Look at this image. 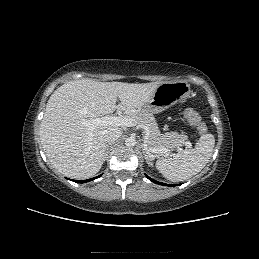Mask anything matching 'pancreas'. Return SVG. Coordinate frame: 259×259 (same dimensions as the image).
Listing matches in <instances>:
<instances>
[{"mask_svg":"<svg viewBox=\"0 0 259 259\" xmlns=\"http://www.w3.org/2000/svg\"><path fill=\"white\" fill-rule=\"evenodd\" d=\"M128 118L135 120L136 124L143 127L145 141L150 148H166L173 150L182 146H187V135L177 132H166L161 134L156 120L152 113L136 110L127 114Z\"/></svg>","mask_w":259,"mask_h":259,"instance_id":"1","label":"pancreas"}]
</instances>
